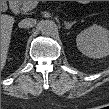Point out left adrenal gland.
<instances>
[{"instance_id": "obj_1", "label": "left adrenal gland", "mask_w": 109, "mask_h": 109, "mask_svg": "<svg viewBox=\"0 0 109 109\" xmlns=\"http://www.w3.org/2000/svg\"><path fill=\"white\" fill-rule=\"evenodd\" d=\"M76 23V21L73 22H64L66 29H70L74 24Z\"/></svg>"}]
</instances>
